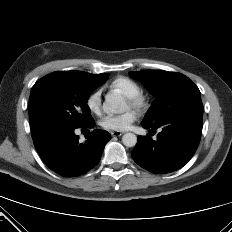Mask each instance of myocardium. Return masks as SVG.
<instances>
[{"instance_id":"f54148a6","label":"myocardium","mask_w":232,"mask_h":232,"mask_svg":"<svg viewBox=\"0 0 232 232\" xmlns=\"http://www.w3.org/2000/svg\"><path fill=\"white\" fill-rule=\"evenodd\" d=\"M127 102L129 103L130 107L141 111L147 106V99L143 94H137L135 96L126 97Z\"/></svg>"}]
</instances>
